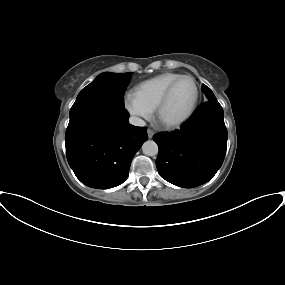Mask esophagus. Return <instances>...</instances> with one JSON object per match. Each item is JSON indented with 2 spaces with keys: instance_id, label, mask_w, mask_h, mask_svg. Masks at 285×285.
Returning <instances> with one entry per match:
<instances>
[{
  "instance_id": "1",
  "label": "esophagus",
  "mask_w": 285,
  "mask_h": 285,
  "mask_svg": "<svg viewBox=\"0 0 285 285\" xmlns=\"http://www.w3.org/2000/svg\"><path fill=\"white\" fill-rule=\"evenodd\" d=\"M148 138L151 139L154 136V131L152 129L147 130Z\"/></svg>"
}]
</instances>
